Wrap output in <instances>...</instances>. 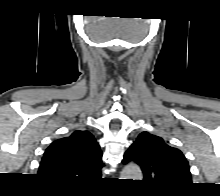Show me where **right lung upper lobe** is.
Listing matches in <instances>:
<instances>
[{"mask_svg":"<svg viewBox=\"0 0 220 196\" xmlns=\"http://www.w3.org/2000/svg\"><path fill=\"white\" fill-rule=\"evenodd\" d=\"M102 152L88 131H75L45 151L38 174L53 184L79 186L101 176Z\"/></svg>","mask_w":220,"mask_h":196,"instance_id":"1","label":"right lung upper lobe"}]
</instances>
